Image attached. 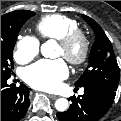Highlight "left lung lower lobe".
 Wrapping results in <instances>:
<instances>
[{"instance_id":"left-lung-lower-lobe-1","label":"left lung lower lobe","mask_w":121,"mask_h":121,"mask_svg":"<svg viewBox=\"0 0 121 121\" xmlns=\"http://www.w3.org/2000/svg\"><path fill=\"white\" fill-rule=\"evenodd\" d=\"M116 91L100 86L84 87V95L72 96V104L65 112H58L59 121H97L113 104Z\"/></svg>"}]
</instances>
